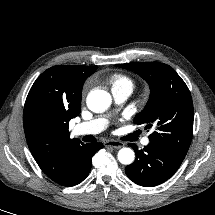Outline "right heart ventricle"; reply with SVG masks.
<instances>
[{"label": "right heart ventricle", "mask_w": 215, "mask_h": 215, "mask_svg": "<svg viewBox=\"0 0 215 215\" xmlns=\"http://www.w3.org/2000/svg\"><path fill=\"white\" fill-rule=\"evenodd\" d=\"M108 83L111 85L112 90L129 88L133 90L134 82L133 80L124 74L115 73L108 77Z\"/></svg>", "instance_id": "obj_1"}]
</instances>
